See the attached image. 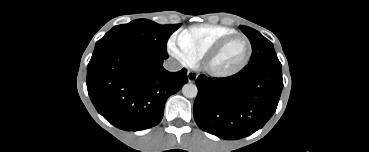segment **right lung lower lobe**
I'll return each mask as SVG.
<instances>
[{
    "label": "right lung lower lobe",
    "mask_w": 369,
    "mask_h": 152,
    "mask_svg": "<svg viewBox=\"0 0 369 152\" xmlns=\"http://www.w3.org/2000/svg\"><path fill=\"white\" fill-rule=\"evenodd\" d=\"M167 57L130 42L94 50L87 67V89L98 113L125 131L157 125L168 97L188 82L185 68L175 73L164 69Z\"/></svg>",
    "instance_id": "98d812e1"
}]
</instances>
